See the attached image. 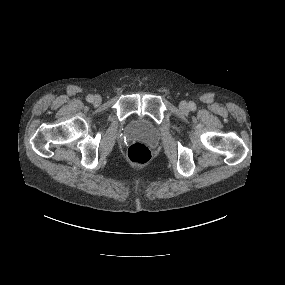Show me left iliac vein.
Returning a JSON list of instances; mask_svg holds the SVG:
<instances>
[{
	"label": "left iliac vein",
	"mask_w": 285,
	"mask_h": 285,
	"mask_svg": "<svg viewBox=\"0 0 285 285\" xmlns=\"http://www.w3.org/2000/svg\"><path fill=\"white\" fill-rule=\"evenodd\" d=\"M179 109L182 112H187L189 110V106H188L187 102H185V101L180 102Z\"/></svg>",
	"instance_id": "left-iliac-vein-1"
}]
</instances>
